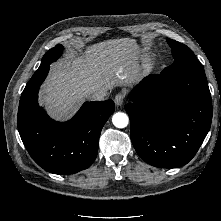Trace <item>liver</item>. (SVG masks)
<instances>
[{
    "label": "liver",
    "mask_w": 221,
    "mask_h": 221,
    "mask_svg": "<svg viewBox=\"0 0 221 221\" xmlns=\"http://www.w3.org/2000/svg\"><path fill=\"white\" fill-rule=\"evenodd\" d=\"M136 71L134 40L94 44L82 56H68L52 66L42 89V103L58 119L69 116L96 89L111 90Z\"/></svg>",
    "instance_id": "6515ba94"
}]
</instances>
